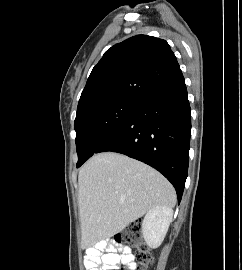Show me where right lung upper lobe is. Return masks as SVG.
I'll return each instance as SVG.
<instances>
[{
  "label": "right lung upper lobe",
  "mask_w": 242,
  "mask_h": 270,
  "mask_svg": "<svg viewBox=\"0 0 242 270\" xmlns=\"http://www.w3.org/2000/svg\"><path fill=\"white\" fill-rule=\"evenodd\" d=\"M181 73L165 40L137 35L109 48L93 68L77 115L117 100L138 101Z\"/></svg>",
  "instance_id": "obj_1"
}]
</instances>
